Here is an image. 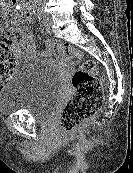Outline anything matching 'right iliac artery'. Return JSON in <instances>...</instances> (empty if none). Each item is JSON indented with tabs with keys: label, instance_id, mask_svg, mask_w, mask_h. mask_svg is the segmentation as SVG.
<instances>
[{
	"label": "right iliac artery",
	"instance_id": "1",
	"mask_svg": "<svg viewBox=\"0 0 133 173\" xmlns=\"http://www.w3.org/2000/svg\"><path fill=\"white\" fill-rule=\"evenodd\" d=\"M32 15H38V18H40L39 16H40V14H37L36 12H35V10L33 9V11H32Z\"/></svg>",
	"mask_w": 133,
	"mask_h": 173
}]
</instances>
